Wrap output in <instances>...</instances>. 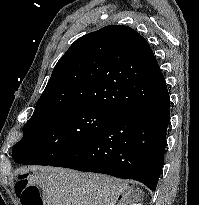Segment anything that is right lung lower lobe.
Returning a JSON list of instances; mask_svg holds the SVG:
<instances>
[{
	"label": "right lung lower lobe",
	"instance_id": "98d812e1",
	"mask_svg": "<svg viewBox=\"0 0 199 205\" xmlns=\"http://www.w3.org/2000/svg\"><path fill=\"white\" fill-rule=\"evenodd\" d=\"M136 89L145 93L134 105L116 113L91 141L50 166L134 179L156 190L164 163L170 97L162 73Z\"/></svg>",
	"mask_w": 199,
	"mask_h": 205
}]
</instances>
